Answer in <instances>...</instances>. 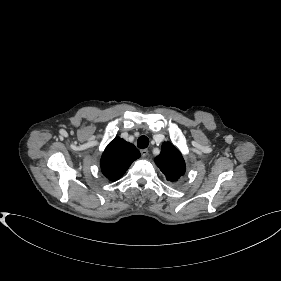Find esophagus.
I'll use <instances>...</instances> for the list:
<instances>
[{"label": "esophagus", "mask_w": 281, "mask_h": 281, "mask_svg": "<svg viewBox=\"0 0 281 281\" xmlns=\"http://www.w3.org/2000/svg\"><path fill=\"white\" fill-rule=\"evenodd\" d=\"M140 152L142 157H146L148 155V149H141Z\"/></svg>", "instance_id": "obj_1"}]
</instances>
